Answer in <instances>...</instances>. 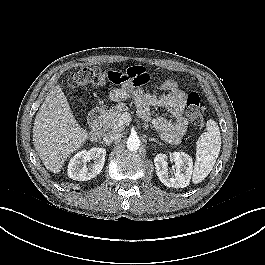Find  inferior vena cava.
I'll return each mask as SVG.
<instances>
[{"label": "inferior vena cava", "mask_w": 265, "mask_h": 265, "mask_svg": "<svg viewBox=\"0 0 265 265\" xmlns=\"http://www.w3.org/2000/svg\"><path fill=\"white\" fill-rule=\"evenodd\" d=\"M120 137V134H118V133H106L105 135H104V141L105 142H113V141H116L118 138Z\"/></svg>", "instance_id": "obj_1"}]
</instances>
